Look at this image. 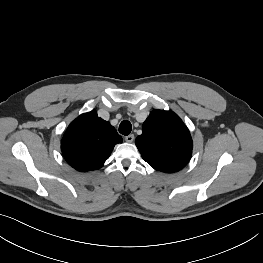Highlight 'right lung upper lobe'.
I'll list each match as a JSON object with an SVG mask.
<instances>
[{
    "instance_id": "1",
    "label": "right lung upper lobe",
    "mask_w": 263,
    "mask_h": 263,
    "mask_svg": "<svg viewBox=\"0 0 263 263\" xmlns=\"http://www.w3.org/2000/svg\"><path fill=\"white\" fill-rule=\"evenodd\" d=\"M121 142L122 137L115 128L93 110L80 115L68 126L61 150L69 165L87 172L101 168L114 146Z\"/></svg>"
}]
</instances>
